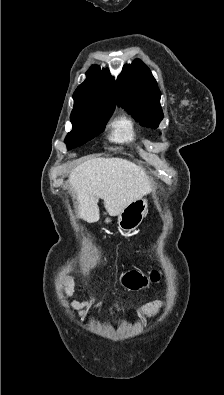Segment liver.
<instances>
[{"label":"liver","mask_w":224,"mask_h":395,"mask_svg":"<svg viewBox=\"0 0 224 395\" xmlns=\"http://www.w3.org/2000/svg\"><path fill=\"white\" fill-rule=\"evenodd\" d=\"M68 183L77 199L78 217L89 223L99 220V198L104 200L107 212L115 216L153 186L142 167L119 157L81 163L71 171Z\"/></svg>","instance_id":"1"}]
</instances>
